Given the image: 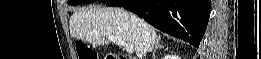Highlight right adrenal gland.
<instances>
[{
	"label": "right adrenal gland",
	"instance_id": "right-adrenal-gland-1",
	"mask_svg": "<svg viewBox=\"0 0 261 59\" xmlns=\"http://www.w3.org/2000/svg\"><path fill=\"white\" fill-rule=\"evenodd\" d=\"M163 46L162 45H160L159 43H156L155 44V49H154V52H153V56L155 57V53H156V51L158 50V49H161Z\"/></svg>",
	"mask_w": 261,
	"mask_h": 59
}]
</instances>
